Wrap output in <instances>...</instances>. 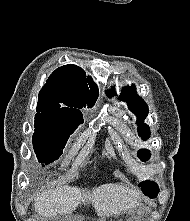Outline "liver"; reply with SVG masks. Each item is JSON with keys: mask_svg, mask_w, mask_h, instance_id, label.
<instances>
[{"mask_svg": "<svg viewBox=\"0 0 190 221\" xmlns=\"http://www.w3.org/2000/svg\"><path fill=\"white\" fill-rule=\"evenodd\" d=\"M138 194L119 184H105L92 191L78 187L56 186L37 196L34 209L38 215L53 218L70 214L80 204L91 203L98 216H116L122 211L131 212Z\"/></svg>", "mask_w": 190, "mask_h": 221, "instance_id": "liver-1", "label": "liver"}]
</instances>
